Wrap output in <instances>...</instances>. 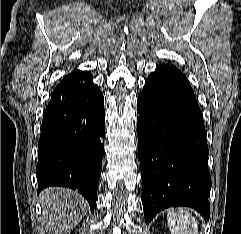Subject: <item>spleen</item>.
I'll list each match as a JSON object with an SVG mask.
<instances>
[{
  "label": "spleen",
  "mask_w": 241,
  "mask_h": 234,
  "mask_svg": "<svg viewBox=\"0 0 241 234\" xmlns=\"http://www.w3.org/2000/svg\"><path fill=\"white\" fill-rule=\"evenodd\" d=\"M167 221L171 234H198L196 219L184 208L168 212Z\"/></svg>",
  "instance_id": "1"
}]
</instances>
